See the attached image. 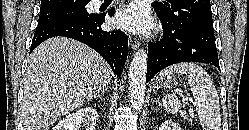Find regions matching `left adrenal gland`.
<instances>
[{
    "instance_id": "obj_1",
    "label": "left adrenal gland",
    "mask_w": 249,
    "mask_h": 130,
    "mask_svg": "<svg viewBox=\"0 0 249 130\" xmlns=\"http://www.w3.org/2000/svg\"><path fill=\"white\" fill-rule=\"evenodd\" d=\"M156 104H157V106H160L159 99H157Z\"/></svg>"
}]
</instances>
